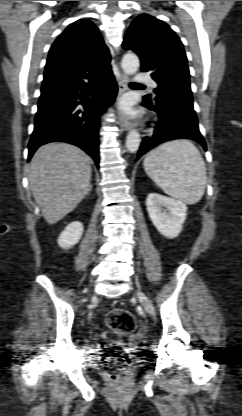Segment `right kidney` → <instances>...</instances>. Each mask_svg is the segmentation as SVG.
Returning a JSON list of instances; mask_svg holds the SVG:
<instances>
[{
	"instance_id": "ca27d5eb",
	"label": "right kidney",
	"mask_w": 242,
	"mask_h": 416,
	"mask_svg": "<svg viewBox=\"0 0 242 416\" xmlns=\"http://www.w3.org/2000/svg\"><path fill=\"white\" fill-rule=\"evenodd\" d=\"M83 234V224L79 221L70 223L60 234L58 245L61 248L68 249L76 245Z\"/></svg>"
}]
</instances>
